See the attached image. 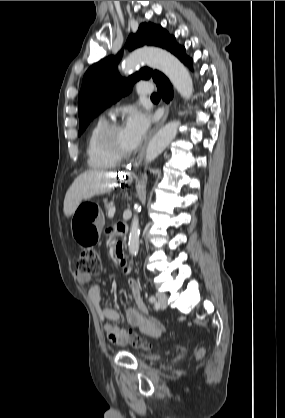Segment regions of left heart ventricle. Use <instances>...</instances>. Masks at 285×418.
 <instances>
[{"mask_svg":"<svg viewBox=\"0 0 285 418\" xmlns=\"http://www.w3.org/2000/svg\"><path fill=\"white\" fill-rule=\"evenodd\" d=\"M112 144L117 150L121 152H125L133 148L130 143L129 137L123 127L118 129L114 133L112 138Z\"/></svg>","mask_w":285,"mask_h":418,"instance_id":"left-heart-ventricle-1","label":"left heart ventricle"}]
</instances>
